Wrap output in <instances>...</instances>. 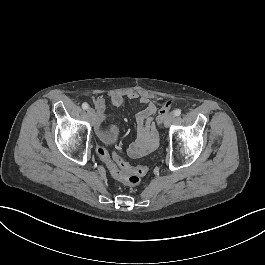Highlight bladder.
I'll return each mask as SVG.
<instances>
[{
  "label": "bladder",
  "instance_id": "1",
  "mask_svg": "<svg viewBox=\"0 0 265 265\" xmlns=\"http://www.w3.org/2000/svg\"><path fill=\"white\" fill-rule=\"evenodd\" d=\"M98 137L106 145L114 144L119 137V127L116 123L101 121L98 126Z\"/></svg>",
  "mask_w": 265,
  "mask_h": 265
}]
</instances>
